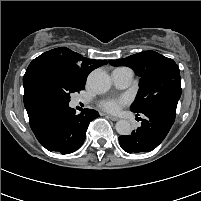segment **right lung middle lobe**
<instances>
[{
    "label": "right lung middle lobe",
    "instance_id": "right-lung-middle-lobe-1",
    "mask_svg": "<svg viewBox=\"0 0 201 201\" xmlns=\"http://www.w3.org/2000/svg\"><path fill=\"white\" fill-rule=\"evenodd\" d=\"M85 84L70 77L54 62H46L35 67L28 75L26 87L51 93L70 101V95L84 89Z\"/></svg>",
    "mask_w": 201,
    "mask_h": 201
}]
</instances>
